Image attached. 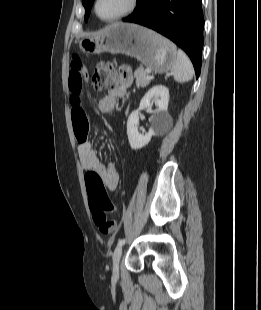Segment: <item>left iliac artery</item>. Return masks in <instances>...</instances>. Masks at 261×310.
<instances>
[{
    "instance_id": "obj_1",
    "label": "left iliac artery",
    "mask_w": 261,
    "mask_h": 310,
    "mask_svg": "<svg viewBox=\"0 0 261 310\" xmlns=\"http://www.w3.org/2000/svg\"><path fill=\"white\" fill-rule=\"evenodd\" d=\"M125 243V239H120L119 241H118V245H123Z\"/></svg>"
}]
</instances>
